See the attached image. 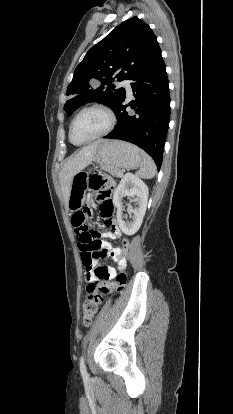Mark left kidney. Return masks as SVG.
Instances as JSON below:
<instances>
[{"label":"left kidney","instance_id":"5707ae66","mask_svg":"<svg viewBox=\"0 0 233 414\" xmlns=\"http://www.w3.org/2000/svg\"><path fill=\"white\" fill-rule=\"evenodd\" d=\"M148 194L147 185L136 175L126 173L121 179L114 192L113 203L117 208L118 225L124 234L131 236L139 230L146 212ZM124 196L136 197L139 205L137 208L130 210V213L133 214L131 222H125L123 220L122 199Z\"/></svg>","mask_w":233,"mask_h":414}]
</instances>
